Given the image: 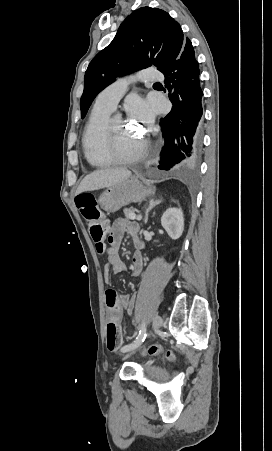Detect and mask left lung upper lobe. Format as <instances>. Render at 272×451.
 <instances>
[{
    "label": "left lung upper lobe",
    "mask_w": 272,
    "mask_h": 451,
    "mask_svg": "<svg viewBox=\"0 0 272 451\" xmlns=\"http://www.w3.org/2000/svg\"><path fill=\"white\" fill-rule=\"evenodd\" d=\"M185 39L179 23L164 10H135L122 22L113 41L90 62L80 101L81 117L117 77L152 65L161 72L166 70L179 56Z\"/></svg>",
    "instance_id": "5c2ea615"
}]
</instances>
